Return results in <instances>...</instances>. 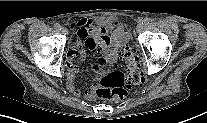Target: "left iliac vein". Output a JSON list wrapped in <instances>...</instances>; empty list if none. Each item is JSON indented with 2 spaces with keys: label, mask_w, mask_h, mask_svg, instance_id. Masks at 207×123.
I'll return each mask as SVG.
<instances>
[{
  "label": "left iliac vein",
  "mask_w": 207,
  "mask_h": 123,
  "mask_svg": "<svg viewBox=\"0 0 207 123\" xmlns=\"http://www.w3.org/2000/svg\"><path fill=\"white\" fill-rule=\"evenodd\" d=\"M143 28H144V24L140 22V23L137 25L136 32H137V33L141 32V31L143 30Z\"/></svg>",
  "instance_id": "1"
}]
</instances>
